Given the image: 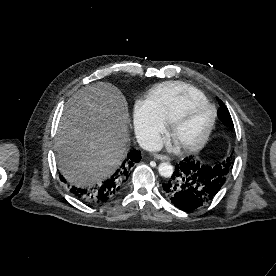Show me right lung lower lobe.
I'll return each mask as SVG.
<instances>
[{"instance_id": "1", "label": "right lung lower lobe", "mask_w": 276, "mask_h": 276, "mask_svg": "<svg viewBox=\"0 0 276 276\" xmlns=\"http://www.w3.org/2000/svg\"><path fill=\"white\" fill-rule=\"evenodd\" d=\"M140 160L141 152L132 150L127 154L124 162L114 174L99 186L90 189H81L73 186L70 191L76 198L89 204L105 202L123 187L130 175L131 168ZM61 180H63L62 176Z\"/></svg>"}]
</instances>
